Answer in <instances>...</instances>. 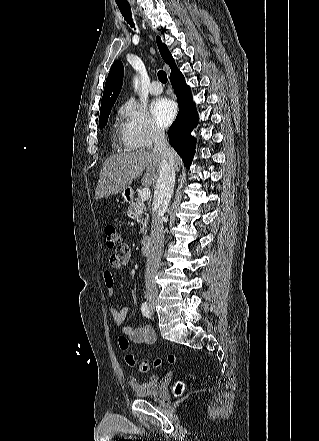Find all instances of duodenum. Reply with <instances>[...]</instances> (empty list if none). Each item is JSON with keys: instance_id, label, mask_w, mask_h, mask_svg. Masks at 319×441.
Returning a JSON list of instances; mask_svg holds the SVG:
<instances>
[{"instance_id": "1", "label": "duodenum", "mask_w": 319, "mask_h": 441, "mask_svg": "<svg viewBox=\"0 0 319 441\" xmlns=\"http://www.w3.org/2000/svg\"><path fill=\"white\" fill-rule=\"evenodd\" d=\"M127 199H130V192H126ZM141 252L144 256L152 253V240L149 236H145L141 242Z\"/></svg>"}]
</instances>
